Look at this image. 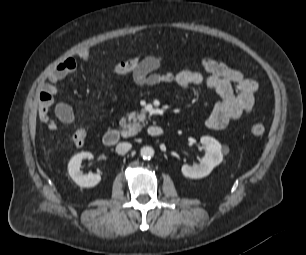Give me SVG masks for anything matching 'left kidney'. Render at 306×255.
<instances>
[{
    "label": "left kidney",
    "mask_w": 306,
    "mask_h": 255,
    "mask_svg": "<svg viewBox=\"0 0 306 255\" xmlns=\"http://www.w3.org/2000/svg\"><path fill=\"white\" fill-rule=\"evenodd\" d=\"M201 144L205 147V156L201 159L200 164L189 166L183 165L181 171L185 177L192 179L203 178L219 165L223 160L221 144L214 138L203 136L200 139Z\"/></svg>",
    "instance_id": "obj_1"
}]
</instances>
